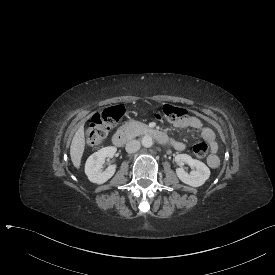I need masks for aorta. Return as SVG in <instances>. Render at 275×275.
Here are the masks:
<instances>
[{
  "label": "aorta",
  "instance_id": "762f6f07",
  "mask_svg": "<svg viewBox=\"0 0 275 275\" xmlns=\"http://www.w3.org/2000/svg\"><path fill=\"white\" fill-rule=\"evenodd\" d=\"M142 145L146 148H149L153 145V139L150 135H145L142 138Z\"/></svg>",
  "mask_w": 275,
  "mask_h": 275
}]
</instances>
